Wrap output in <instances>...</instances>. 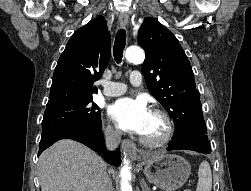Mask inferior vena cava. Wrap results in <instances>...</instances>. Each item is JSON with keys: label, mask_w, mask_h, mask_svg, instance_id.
<instances>
[{"label": "inferior vena cava", "mask_w": 251, "mask_h": 191, "mask_svg": "<svg viewBox=\"0 0 251 191\" xmlns=\"http://www.w3.org/2000/svg\"><path fill=\"white\" fill-rule=\"evenodd\" d=\"M104 135L107 149H116L121 141L122 131L117 129V127L116 129H110V127H107L104 131ZM100 191H112L109 175H103Z\"/></svg>", "instance_id": "obj_1"}]
</instances>
